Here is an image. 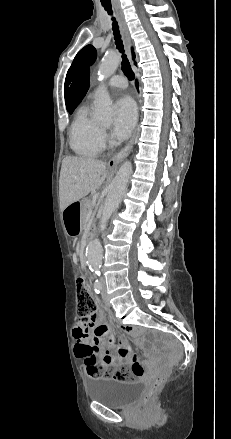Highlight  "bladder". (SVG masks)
<instances>
[{
    "instance_id": "1",
    "label": "bladder",
    "mask_w": 231,
    "mask_h": 439,
    "mask_svg": "<svg viewBox=\"0 0 231 439\" xmlns=\"http://www.w3.org/2000/svg\"><path fill=\"white\" fill-rule=\"evenodd\" d=\"M140 381L119 382L102 376L94 377L87 383L89 399L103 403L109 407H123L142 392Z\"/></svg>"
}]
</instances>
